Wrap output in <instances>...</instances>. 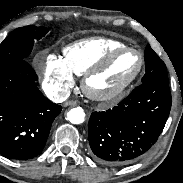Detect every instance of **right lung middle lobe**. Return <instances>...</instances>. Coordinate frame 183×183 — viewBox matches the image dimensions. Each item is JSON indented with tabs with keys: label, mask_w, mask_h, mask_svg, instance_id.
<instances>
[{
	"label": "right lung middle lobe",
	"mask_w": 183,
	"mask_h": 183,
	"mask_svg": "<svg viewBox=\"0 0 183 183\" xmlns=\"http://www.w3.org/2000/svg\"><path fill=\"white\" fill-rule=\"evenodd\" d=\"M47 32V28L36 26L15 29L0 44V64L26 60L35 41L41 39Z\"/></svg>",
	"instance_id": "right-lung-middle-lobe-1"
}]
</instances>
